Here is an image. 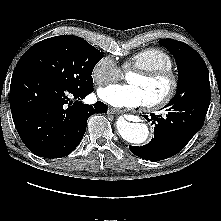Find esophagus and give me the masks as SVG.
Segmentation results:
<instances>
[{
	"mask_svg": "<svg viewBox=\"0 0 221 221\" xmlns=\"http://www.w3.org/2000/svg\"><path fill=\"white\" fill-rule=\"evenodd\" d=\"M108 112H109L110 114H121V113H123L122 110L115 109V108H109V109H108Z\"/></svg>",
	"mask_w": 221,
	"mask_h": 221,
	"instance_id": "obj_1",
	"label": "esophagus"
}]
</instances>
